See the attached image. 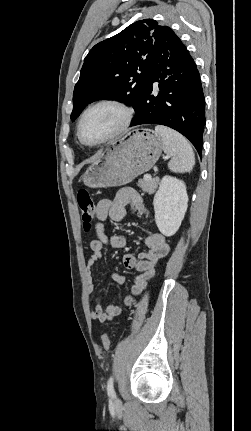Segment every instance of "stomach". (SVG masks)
Masks as SVG:
<instances>
[{
    "mask_svg": "<svg viewBox=\"0 0 251 431\" xmlns=\"http://www.w3.org/2000/svg\"><path fill=\"white\" fill-rule=\"evenodd\" d=\"M163 150L161 137L150 129H137L102 151L82 175L92 188L128 184L149 171Z\"/></svg>",
    "mask_w": 251,
    "mask_h": 431,
    "instance_id": "0dacf381",
    "label": "stomach"
}]
</instances>
